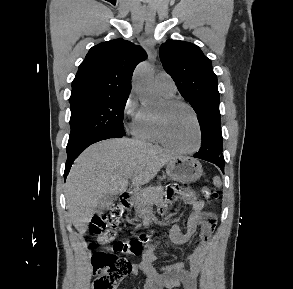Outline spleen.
Returning <instances> with one entry per match:
<instances>
[{
  "instance_id": "3e777b00",
  "label": "spleen",
  "mask_w": 293,
  "mask_h": 289,
  "mask_svg": "<svg viewBox=\"0 0 293 289\" xmlns=\"http://www.w3.org/2000/svg\"><path fill=\"white\" fill-rule=\"evenodd\" d=\"M213 183L216 187H221V185H222L221 179L218 176L214 177Z\"/></svg>"
}]
</instances>
